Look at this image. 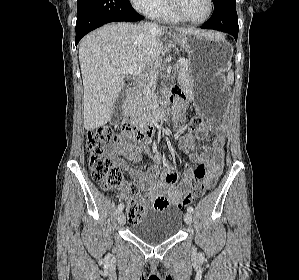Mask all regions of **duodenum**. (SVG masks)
I'll return each instance as SVG.
<instances>
[{
    "mask_svg": "<svg viewBox=\"0 0 299 280\" xmlns=\"http://www.w3.org/2000/svg\"><path fill=\"white\" fill-rule=\"evenodd\" d=\"M135 97L133 91L129 92L127 95L126 104L129 105ZM173 109L174 115L177 116L178 113L184 108L183 100L180 94H172L167 99H165L160 106V114H164L168 109ZM126 128L137 140H148L151 139L158 129V123L152 122L149 124H137L130 120L126 121Z\"/></svg>",
    "mask_w": 299,
    "mask_h": 280,
    "instance_id": "duodenum-1",
    "label": "duodenum"
}]
</instances>
